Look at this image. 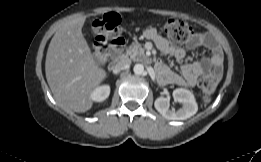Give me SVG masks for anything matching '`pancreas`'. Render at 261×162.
<instances>
[{
    "instance_id": "cf45deb5",
    "label": "pancreas",
    "mask_w": 261,
    "mask_h": 162,
    "mask_svg": "<svg viewBox=\"0 0 261 162\" xmlns=\"http://www.w3.org/2000/svg\"><path fill=\"white\" fill-rule=\"evenodd\" d=\"M144 55V49L139 43H132L125 54L122 55L124 58L130 57L131 59H135L137 56Z\"/></svg>"
}]
</instances>
